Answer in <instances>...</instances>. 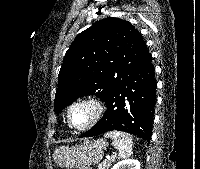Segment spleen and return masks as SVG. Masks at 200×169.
<instances>
[{"instance_id":"obj_1","label":"spleen","mask_w":200,"mask_h":169,"mask_svg":"<svg viewBox=\"0 0 200 169\" xmlns=\"http://www.w3.org/2000/svg\"><path fill=\"white\" fill-rule=\"evenodd\" d=\"M105 138L113 141V146L119 152V158H127L133 154V139L130 135L120 131L105 133Z\"/></svg>"}]
</instances>
